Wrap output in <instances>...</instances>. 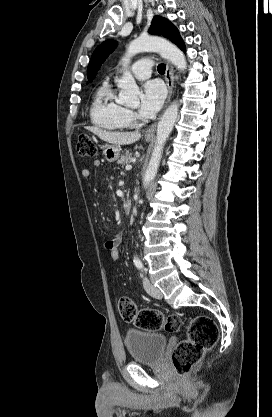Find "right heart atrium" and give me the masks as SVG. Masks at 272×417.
I'll use <instances>...</instances> for the list:
<instances>
[{"mask_svg":"<svg viewBox=\"0 0 272 417\" xmlns=\"http://www.w3.org/2000/svg\"><path fill=\"white\" fill-rule=\"evenodd\" d=\"M125 116L129 122H132L136 118L135 112L130 109H125Z\"/></svg>","mask_w":272,"mask_h":417,"instance_id":"right-heart-atrium-1","label":"right heart atrium"}]
</instances>
